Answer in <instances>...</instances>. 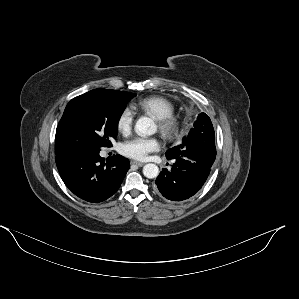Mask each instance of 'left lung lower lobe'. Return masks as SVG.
<instances>
[{"label": "left lung lower lobe", "instance_id": "0a47b994", "mask_svg": "<svg viewBox=\"0 0 299 299\" xmlns=\"http://www.w3.org/2000/svg\"><path fill=\"white\" fill-rule=\"evenodd\" d=\"M171 170L163 169L155 181V191L171 201L196 194L209 176L211 164L201 153L175 155Z\"/></svg>", "mask_w": 299, "mask_h": 299}]
</instances>
